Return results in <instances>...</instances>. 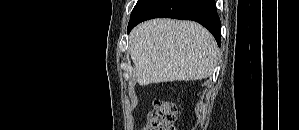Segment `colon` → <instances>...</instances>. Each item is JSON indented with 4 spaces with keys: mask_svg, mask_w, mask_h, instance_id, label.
<instances>
[{
    "mask_svg": "<svg viewBox=\"0 0 299 130\" xmlns=\"http://www.w3.org/2000/svg\"><path fill=\"white\" fill-rule=\"evenodd\" d=\"M177 108L169 100L158 99L153 104L143 130H175Z\"/></svg>",
    "mask_w": 299,
    "mask_h": 130,
    "instance_id": "obj_1",
    "label": "colon"
}]
</instances>
